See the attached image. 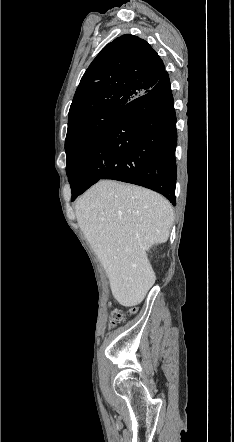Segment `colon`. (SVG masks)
Returning <instances> with one entry per match:
<instances>
[{"label":"colon","mask_w":234,"mask_h":442,"mask_svg":"<svg viewBox=\"0 0 234 442\" xmlns=\"http://www.w3.org/2000/svg\"><path fill=\"white\" fill-rule=\"evenodd\" d=\"M136 310L132 309L129 312L134 313ZM124 312L121 310H114L111 314L110 325L111 327L118 323L124 317Z\"/></svg>","instance_id":"colon-1"}]
</instances>
